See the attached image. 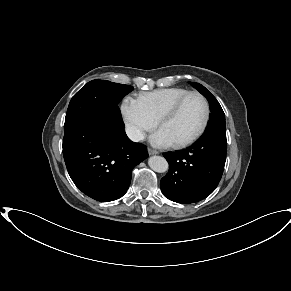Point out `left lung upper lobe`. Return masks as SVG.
Here are the masks:
<instances>
[{
  "instance_id": "obj_1",
  "label": "left lung upper lobe",
  "mask_w": 291,
  "mask_h": 291,
  "mask_svg": "<svg viewBox=\"0 0 291 291\" xmlns=\"http://www.w3.org/2000/svg\"><path fill=\"white\" fill-rule=\"evenodd\" d=\"M191 85L207 98L210 105V120L205 131L226 130L225 114L216 98L201 84L191 83Z\"/></svg>"
}]
</instances>
